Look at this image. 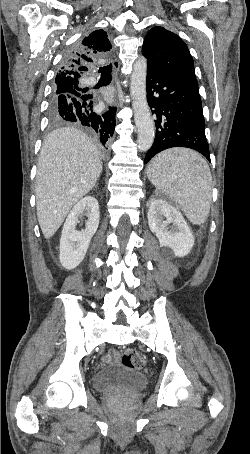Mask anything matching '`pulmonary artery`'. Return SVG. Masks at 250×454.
I'll use <instances>...</instances> for the list:
<instances>
[{
    "label": "pulmonary artery",
    "instance_id": "pulmonary-artery-1",
    "mask_svg": "<svg viewBox=\"0 0 250 454\" xmlns=\"http://www.w3.org/2000/svg\"><path fill=\"white\" fill-rule=\"evenodd\" d=\"M86 84L87 85H94V84H96V79L93 78V77H89V78L86 79Z\"/></svg>",
    "mask_w": 250,
    "mask_h": 454
}]
</instances>
